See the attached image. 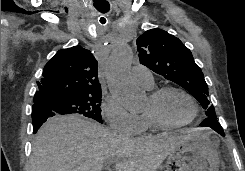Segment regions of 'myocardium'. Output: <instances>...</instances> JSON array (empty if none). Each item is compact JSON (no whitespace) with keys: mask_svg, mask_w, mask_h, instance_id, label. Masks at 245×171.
<instances>
[{"mask_svg":"<svg viewBox=\"0 0 245 171\" xmlns=\"http://www.w3.org/2000/svg\"><path fill=\"white\" fill-rule=\"evenodd\" d=\"M170 91L181 93L191 102L194 111H193V115L191 116L189 120L182 122V123H177V124L170 123L164 120L158 113L156 106L159 100L164 94ZM149 99L152 103V107L149 110H146L144 113L149 118V120L152 122V124L158 129L174 130V129H180V128L186 127L192 122H194V120L197 118L199 114V105L196 99L188 91L178 86L166 85V86L156 88L149 94Z\"/></svg>","mask_w":245,"mask_h":171,"instance_id":"myocardium-1","label":"myocardium"}]
</instances>
